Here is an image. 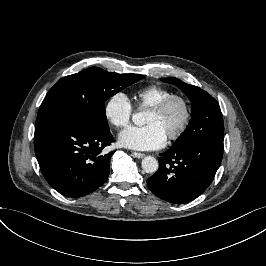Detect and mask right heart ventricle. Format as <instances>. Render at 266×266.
I'll list each match as a JSON object with an SVG mask.
<instances>
[{"label":"right heart ventricle","mask_w":266,"mask_h":266,"mask_svg":"<svg viewBox=\"0 0 266 266\" xmlns=\"http://www.w3.org/2000/svg\"><path fill=\"white\" fill-rule=\"evenodd\" d=\"M174 92L165 86L151 84L136 89L134 99L141 108H150Z\"/></svg>","instance_id":"e07e8e85"}]
</instances>
